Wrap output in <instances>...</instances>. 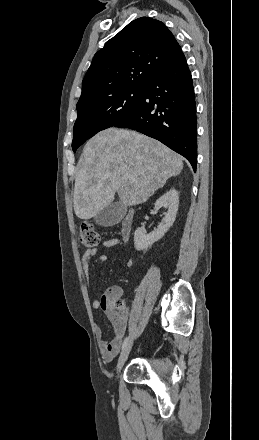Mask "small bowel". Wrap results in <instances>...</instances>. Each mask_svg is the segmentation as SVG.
Listing matches in <instances>:
<instances>
[{"label":"small bowel","instance_id":"c3829d8e","mask_svg":"<svg viewBox=\"0 0 259 440\" xmlns=\"http://www.w3.org/2000/svg\"><path fill=\"white\" fill-rule=\"evenodd\" d=\"M124 242L118 238L106 239L103 241L102 246L105 248H111L114 246H121ZM97 249H87L81 258V265L86 276L87 284L91 273L93 265L97 262H102L107 259L106 255H99L96 257ZM133 263L131 258L126 261L127 266H131ZM121 295V290L118 287L109 288L106 293L99 299L95 298L92 302V307L94 309L103 310L114 327V335L110 341L102 340V330L98 327L96 329V335L99 339V348L102 358L105 361H111L118 353L121 346L123 337L126 331V321L120 316L110 304L105 303L104 300L107 298H118Z\"/></svg>","mask_w":259,"mask_h":440}]
</instances>
